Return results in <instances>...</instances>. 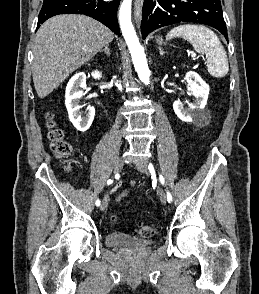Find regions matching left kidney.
Wrapping results in <instances>:
<instances>
[{"label":"left kidney","instance_id":"1","mask_svg":"<svg viewBox=\"0 0 259 294\" xmlns=\"http://www.w3.org/2000/svg\"><path fill=\"white\" fill-rule=\"evenodd\" d=\"M185 79L192 95L195 97V101L192 103L187 102L188 108H184V104L180 100H176L173 103V109L177 117L182 121L196 122L202 117V110L206 106L209 86L194 71L187 72Z\"/></svg>","mask_w":259,"mask_h":294}]
</instances>
